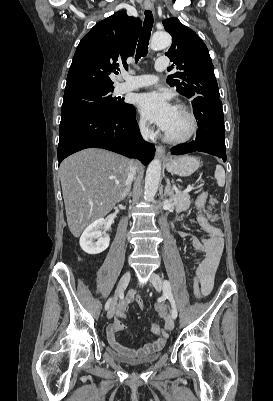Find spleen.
I'll list each match as a JSON object with an SVG mask.
<instances>
[{"mask_svg": "<svg viewBox=\"0 0 273 401\" xmlns=\"http://www.w3.org/2000/svg\"><path fill=\"white\" fill-rule=\"evenodd\" d=\"M215 178L219 186H224L225 184V170L221 164H216V170L214 172Z\"/></svg>", "mask_w": 273, "mask_h": 401, "instance_id": "3e777b00", "label": "spleen"}]
</instances>
